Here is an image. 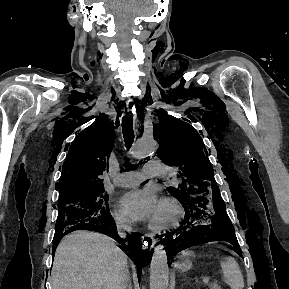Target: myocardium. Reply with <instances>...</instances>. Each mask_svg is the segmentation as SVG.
Wrapping results in <instances>:
<instances>
[{
	"label": "myocardium",
	"mask_w": 289,
	"mask_h": 289,
	"mask_svg": "<svg viewBox=\"0 0 289 289\" xmlns=\"http://www.w3.org/2000/svg\"><path fill=\"white\" fill-rule=\"evenodd\" d=\"M160 207H165L171 212L169 219L157 223L152 220L149 224V227L154 232H162L169 229H172L180 224L183 219L184 211L180 203L173 198H163L160 201Z\"/></svg>",
	"instance_id": "myocardium-1"
}]
</instances>
